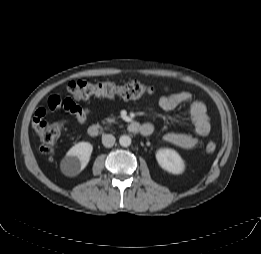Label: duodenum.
I'll list each match as a JSON object with an SVG mask.
<instances>
[{
  "instance_id": "obj_1",
  "label": "duodenum",
  "mask_w": 261,
  "mask_h": 254,
  "mask_svg": "<svg viewBox=\"0 0 261 254\" xmlns=\"http://www.w3.org/2000/svg\"><path fill=\"white\" fill-rule=\"evenodd\" d=\"M127 129L131 133L147 136L151 134L153 127L152 125L145 126L144 124H140L139 122H131L127 125ZM110 130L111 127L109 126L93 124L87 129V134L91 137H96Z\"/></svg>"
}]
</instances>
